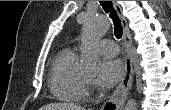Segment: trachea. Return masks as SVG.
Masks as SVG:
<instances>
[{
  "mask_svg": "<svg viewBox=\"0 0 171 110\" xmlns=\"http://www.w3.org/2000/svg\"><path fill=\"white\" fill-rule=\"evenodd\" d=\"M102 8L106 13H109V17L113 20L114 24V33L117 39L122 37L123 28L121 25V21L117 15L116 10L113 8V4L111 1H99Z\"/></svg>",
  "mask_w": 171,
  "mask_h": 110,
  "instance_id": "1",
  "label": "trachea"
}]
</instances>
